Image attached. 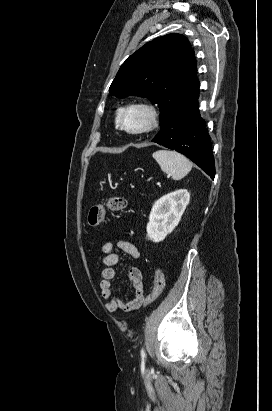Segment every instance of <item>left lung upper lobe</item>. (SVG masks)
<instances>
[{
  "label": "left lung upper lobe",
  "mask_w": 272,
  "mask_h": 411,
  "mask_svg": "<svg viewBox=\"0 0 272 411\" xmlns=\"http://www.w3.org/2000/svg\"><path fill=\"white\" fill-rule=\"evenodd\" d=\"M196 60L189 41L181 34L156 38L126 59L109 92L117 98L146 97L160 108L161 128L199 92Z\"/></svg>",
  "instance_id": "5c2ea615"
}]
</instances>
